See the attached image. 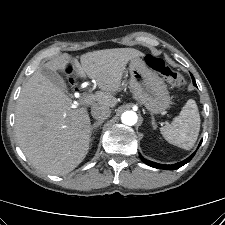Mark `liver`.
Segmentation results:
<instances>
[{
    "label": "liver",
    "instance_id": "6515ba94",
    "mask_svg": "<svg viewBox=\"0 0 225 225\" xmlns=\"http://www.w3.org/2000/svg\"><path fill=\"white\" fill-rule=\"evenodd\" d=\"M144 54L134 48H114L88 52L80 57L81 65L63 54L43 65L96 82L102 91L95 93L94 105L114 107L116 92L127 63ZM36 70L21 90L15 113V133L26 158L48 174L65 175L86 157L90 143L91 122L86 107H73L66 85L58 87ZM82 104H85L82 102Z\"/></svg>",
    "mask_w": 225,
    "mask_h": 225
}]
</instances>
